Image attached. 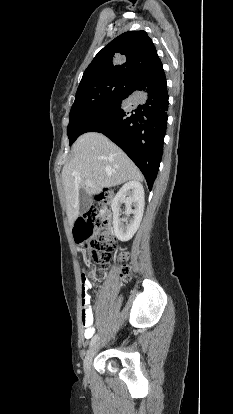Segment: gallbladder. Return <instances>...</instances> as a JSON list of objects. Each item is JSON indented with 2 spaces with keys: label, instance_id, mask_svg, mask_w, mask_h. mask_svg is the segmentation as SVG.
<instances>
[{
  "label": "gallbladder",
  "instance_id": "bac80fb5",
  "mask_svg": "<svg viewBox=\"0 0 233 414\" xmlns=\"http://www.w3.org/2000/svg\"><path fill=\"white\" fill-rule=\"evenodd\" d=\"M91 203V196L82 188L79 196V213L84 214L87 212L91 206Z\"/></svg>",
  "mask_w": 233,
  "mask_h": 414
}]
</instances>
